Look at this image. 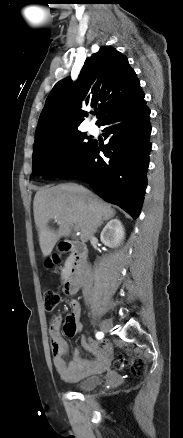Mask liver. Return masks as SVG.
Wrapping results in <instances>:
<instances>
[{
  "label": "liver",
  "mask_w": 183,
  "mask_h": 438,
  "mask_svg": "<svg viewBox=\"0 0 183 438\" xmlns=\"http://www.w3.org/2000/svg\"><path fill=\"white\" fill-rule=\"evenodd\" d=\"M34 220L38 228L39 245L43 256H48L61 237H69L75 225L81 240L88 241L115 210L87 188L74 184H60L37 191L33 202ZM55 219L57 232L48 227Z\"/></svg>",
  "instance_id": "liver-1"
}]
</instances>
